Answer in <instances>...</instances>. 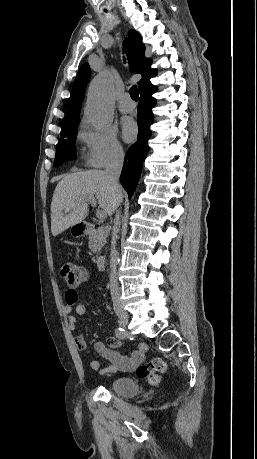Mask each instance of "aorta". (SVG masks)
<instances>
[{"label": "aorta", "mask_w": 257, "mask_h": 459, "mask_svg": "<svg viewBox=\"0 0 257 459\" xmlns=\"http://www.w3.org/2000/svg\"><path fill=\"white\" fill-rule=\"evenodd\" d=\"M114 82L108 72L98 75L90 84L86 105V117L97 130L106 129L113 120L112 101Z\"/></svg>", "instance_id": "obj_1"}]
</instances>
